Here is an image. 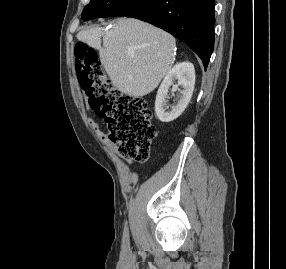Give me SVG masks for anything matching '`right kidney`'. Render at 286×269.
<instances>
[{
  "instance_id": "1",
  "label": "right kidney",
  "mask_w": 286,
  "mask_h": 269,
  "mask_svg": "<svg viewBox=\"0 0 286 269\" xmlns=\"http://www.w3.org/2000/svg\"><path fill=\"white\" fill-rule=\"evenodd\" d=\"M177 80L178 84H173ZM195 85V70L190 62L176 64L165 76L156 96L155 112L161 122H171L178 118L191 100ZM172 86V92L179 90L181 86L178 103L172 107L170 112H166L168 90Z\"/></svg>"
}]
</instances>
